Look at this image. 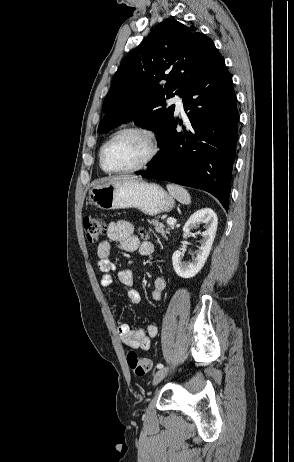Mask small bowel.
Masks as SVG:
<instances>
[{
  "mask_svg": "<svg viewBox=\"0 0 294 462\" xmlns=\"http://www.w3.org/2000/svg\"><path fill=\"white\" fill-rule=\"evenodd\" d=\"M107 241H103L98 245V269L103 273L101 276V286L109 288L113 285L114 279L111 274L116 270V265L110 258L112 244L116 243V247L126 251H137L140 255L149 256L155 251V245L152 242H141L134 234L133 225L126 220L110 222L107 229ZM119 282L126 288L127 295L132 304H137L140 301V295L134 288V274L131 269H120L117 273ZM166 287V280L162 276H157L153 282L151 298L153 301H160L163 291ZM117 332L121 341L136 349L147 351L150 349L151 340L156 337L158 327L155 324H148L145 328H133L124 321H118Z\"/></svg>",
  "mask_w": 294,
  "mask_h": 462,
  "instance_id": "1",
  "label": "small bowel"
}]
</instances>
